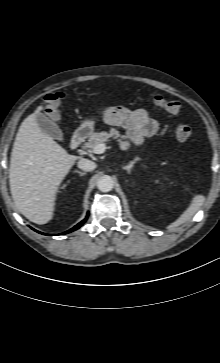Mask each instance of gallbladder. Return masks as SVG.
Wrapping results in <instances>:
<instances>
[{
	"label": "gallbladder",
	"instance_id": "obj_1",
	"mask_svg": "<svg viewBox=\"0 0 220 363\" xmlns=\"http://www.w3.org/2000/svg\"><path fill=\"white\" fill-rule=\"evenodd\" d=\"M36 121L40 129L53 139L63 141L64 133L60 127L42 113L36 115Z\"/></svg>",
	"mask_w": 220,
	"mask_h": 363
}]
</instances>
